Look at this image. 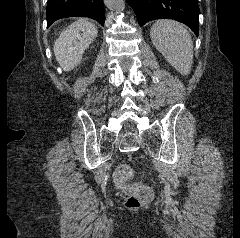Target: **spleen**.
I'll use <instances>...</instances> for the list:
<instances>
[{
  "instance_id": "obj_1",
  "label": "spleen",
  "mask_w": 240,
  "mask_h": 238,
  "mask_svg": "<svg viewBox=\"0 0 240 238\" xmlns=\"http://www.w3.org/2000/svg\"><path fill=\"white\" fill-rule=\"evenodd\" d=\"M152 43L182 75H187L193 62V41L187 29L171 20L156 21L150 31Z\"/></svg>"
}]
</instances>
